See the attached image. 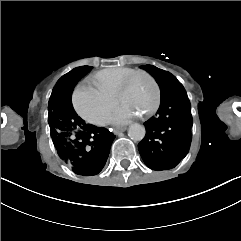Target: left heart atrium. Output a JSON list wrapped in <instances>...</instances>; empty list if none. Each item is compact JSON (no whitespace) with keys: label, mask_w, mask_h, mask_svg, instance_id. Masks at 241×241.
<instances>
[{"label":"left heart atrium","mask_w":241,"mask_h":241,"mask_svg":"<svg viewBox=\"0 0 241 241\" xmlns=\"http://www.w3.org/2000/svg\"><path fill=\"white\" fill-rule=\"evenodd\" d=\"M134 114L128 111H118L112 117L111 121L116 124H122L132 119Z\"/></svg>","instance_id":"1"}]
</instances>
